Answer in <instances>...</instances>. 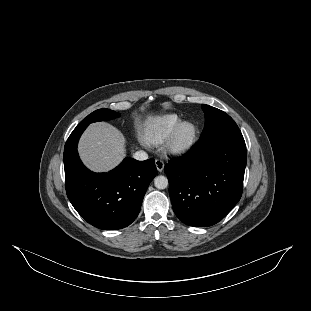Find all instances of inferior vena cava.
I'll return each instance as SVG.
<instances>
[{
    "label": "inferior vena cava",
    "instance_id": "1",
    "mask_svg": "<svg viewBox=\"0 0 311 311\" xmlns=\"http://www.w3.org/2000/svg\"><path fill=\"white\" fill-rule=\"evenodd\" d=\"M133 158L138 161H145L148 159V154L143 150H139L133 154Z\"/></svg>",
    "mask_w": 311,
    "mask_h": 311
}]
</instances>
